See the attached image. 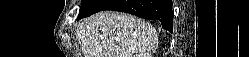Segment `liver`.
<instances>
[{
	"instance_id": "6515ba94",
	"label": "liver",
	"mask_w": 249,
	"mask_h": 57,
	"mask_svg": "<svg viewBox=\"0 0 249 57\" xmlns=\"http://www.w3.org/2000/svg\"><path fill=\"white\" fill-rule=\"evenodd\" d=\"M78 35L85 57H152L157 47L149 22L111 11L84 19Z\"/></svg>"
}]
</instances>
